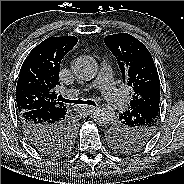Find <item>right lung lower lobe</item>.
I'll use <instances>...</instances> for the list:
<instances>
[{"instance_id": "98d812e1", "label": "right lung lower lobe", "mask_w": 184, "mask_h": 184, "mask_svg": "<svg viewBox=\"0 0 184 184\" xmlns=\"http://www.w3.org/2000/svg\"><path fill=\"white\" fill-rule=\"evenodd\" d=\"M64 113H48L42 110L24 111L19 113L24 133L31 144L39 151L45 148H55L68 129H72Z\"/></svg>"}]
</instances>
